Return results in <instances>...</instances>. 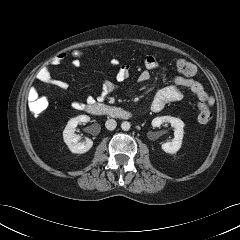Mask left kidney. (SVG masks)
I'll use <instances>...</instances> for the list:
<instances>
[{"label": "left kidney", "instance_id": "1", "mask_svg": "<svg viewBox=\"0 0 240 240\" xmlns=\"http://www.w3.org/2000/svg\"><path fill=\"white\" fill-rule=\"evenodd\" d=\"M162 123H170L174 128V138L171 142L163 143L162 149L166 153L175 154L179 151L182 145L184 123L181 119L171 116L156 117L152 120L153 127H159Z\"/></svg>", "mask_w": 240, "mask_h": 240}]
</instances>
